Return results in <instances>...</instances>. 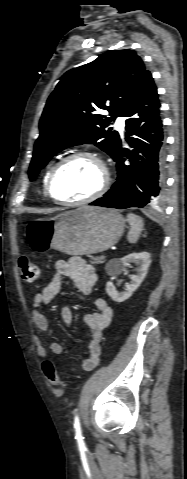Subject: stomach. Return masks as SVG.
Wrapping results in <instances>:
<instances>
[{
	"label": "stomach",
	"mask_w": 187,
	"mask_h": 479,
	"mask_svg": "<svg viewBox=\"0 0 187 479\" xmlns=\"http://www.w3.org/2000/svg\"><path fill=\"white\" fill-rule=\"evenodd\" d=\"M125 219L114 209L83 206L27 224V240L37 253L56 249L69 255L100 253L121 238Z\"/></svg>",
	"instance_id": "stomach-1"
}]
</instances>
